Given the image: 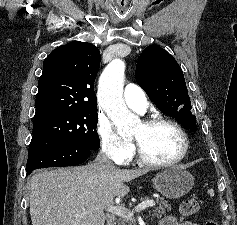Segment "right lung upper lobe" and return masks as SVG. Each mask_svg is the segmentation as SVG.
I'll list each match as a JSON object with an SVG mask.
<instances>
[{"mask_svg": "<svg viewBox=\"0 0 237 225\" xmlns=\"http://www.w3.org/2000/svg\"><path fill=\"white\" fill-rule=\"evenodd\" d=\"M100 52L87 42L57 47L44 60L34 121L61 114L97 110L94 81Z\"/></svg>", "mask_w": 237, "mask_h": 225, "instance_id": "1", "label": "right lung upper lobe"}]
</instances>
